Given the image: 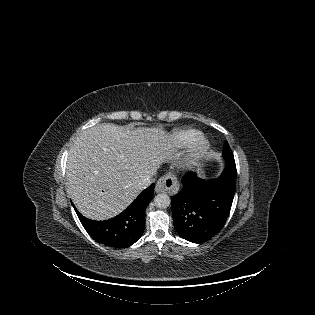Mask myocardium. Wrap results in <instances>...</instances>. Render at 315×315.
Returning a JSON list of instances; mask_svg holds the SVG:
<instances>
[{
  "instance_id": "1",
  "label": "myocardium",
  "mask_w": 315,
  "mask_h": 315,
  "mask_svg": "<svg viewBox=\"0 0 315 315\" xmlns=\"http://www.w3.org/2000/svg\"><path fill=\"white\" fill-rule=\"evenodd\" d=\"M209 142L203 135H198L189 145L185 163L188 166L195 165L207 152Z\"/></svg>"
}]
</instances>
